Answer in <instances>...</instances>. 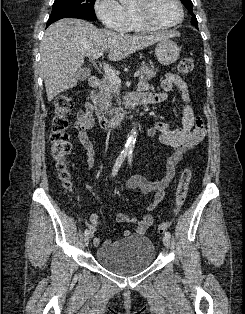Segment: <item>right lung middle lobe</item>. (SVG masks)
I'll return each mask as SVG.
<instances>
[{"label": "right lung middle lobe", "mask_w": 245, "mask_h": 314, "mask_svg": "<svg viewBox=\"0 0 245 314\" xmlns=\"http://www.w3.org/2000/svg\"><path fill=\"white\" fill-rule=\"evenodd\" d=\"M95 0H55L49 19L81 16L96 19Z\"/></svg>", "instance_id": "dd1d6c3e"}]
</instances>
